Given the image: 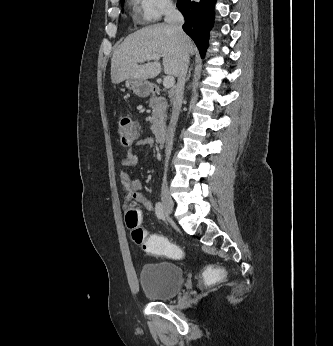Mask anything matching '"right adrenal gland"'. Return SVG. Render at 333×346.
<instances>
[{"label": "right adrenal gland", "instance_id": "1", "mask_svg": "<svg viewBox=\"0 0 333 346\" xmlns=\"http://www.w3.org/2000/svg\"><path fill=\"white\" fill-rule=\"evenodd\" d=\"M191 71H192V68H190L189 72H188V75L186 77V80L185 82H187L189 80V78L191 77Z\"/></svg>", "mask_w": 333, "mask_h": 346}]
</instances>
